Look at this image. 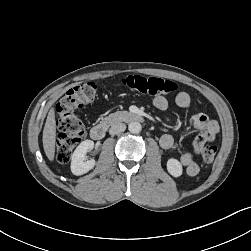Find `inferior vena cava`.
Returning <instances> with one entry per match:
<instances>
[{"mask_svg":"<svg viewBox=\"0 0 251 251\" xmlns=\"http://www.w3.org/2000/svg\"><path fill=\"white\" fill-rule=\"evenodd\" d=\"M125 129L126 125L124 123H115L110 127L109 133L110 135H116L125 131Z\"/></svg>","mask_w":251,"mask_h":251,"instance_id":"602c4592","label":"inferior vena cava"}]
</instances>
